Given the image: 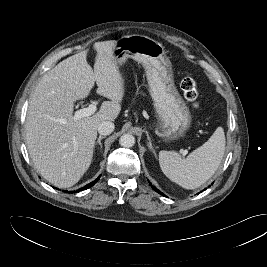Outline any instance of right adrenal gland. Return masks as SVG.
I'll return each mask as SVG.
<instances>
[{
	"label": "right adrenal gland",
	"instance_id": "1",
	"mask_svg": "<svg viewBox=\"0 0 267 267\" xmlns=\"http://www.w3.org/2000/svg\"><path fill=\"white\" fill-rule=\"evenodd\" d=\"M106 138L105 136H99L97 141H96V145H99V150L101 151L102 149V143H101V140Z\"/></svg>",
	"mask_w": 267,
	"mask_h": 267
}]
</instances>
